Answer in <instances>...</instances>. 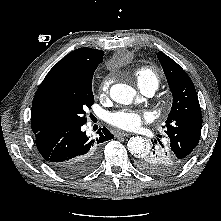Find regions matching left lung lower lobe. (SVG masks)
<instances>
[{"label": "left lung lower lobe", "instance_id": "left-lung-lower-lobe-1", "mask_svg": "<svg viewBox=\"0 0 221 221\" xmlns=\"http://www.w3.org/2000/svg\"><path fill=\"white\" fill-rule=\"evenodd\" d=\"M152 150L140 157L137 167L152 175L166 176L178 171L185 162L180 160L172 151L167 141L155 140Z\"/></svg>", "mask_w": 221, "mask_h": 221}]
</instances>
